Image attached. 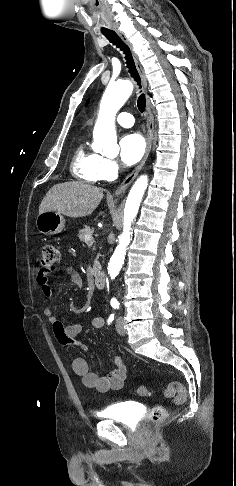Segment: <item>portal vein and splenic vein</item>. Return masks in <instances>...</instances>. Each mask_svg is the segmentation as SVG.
<instances>
[{
  "instance_id": "18ae733b",
  "label": "portal vein and splenic vein",
  "mask_w": 236,
  "mask_h": 486,
  "mask_svg": "<svg viewBox=\"0 0 236 486\" xmlns=\"http://www.w3.org/2000/svg\"><path fill=\"white\" fill-rule=\"evenodd\" d=\"M91 240H92V236H86V237H85V241H86V242H89V241H91Z\"/></svg>"
}]
</instances>
